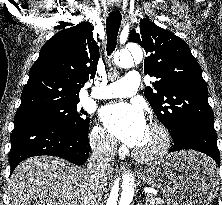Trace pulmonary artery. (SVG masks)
Masks as SVG:
<instances>
[{
  "instance_id": "pulmonary-artery-1",
  "label": "pulmonary artery",
  "mask_w": 222,
  "mask_h": 205,
  "mask_svg": "<svg viewBox=\"0 0 222 205\" xmlns=\"http://www.w3.org/2000/svg\"><path fill=\"white\" fill-rule=\"evenodd\" d=\"M139 82L137 71L129 70L124 78L91 91V96L97 99L129 97L137 92Z\"/></svg>"
}]
</instances>
